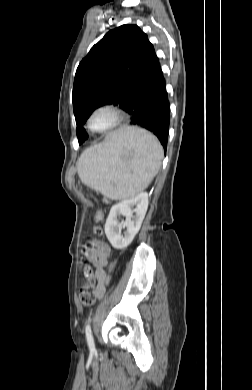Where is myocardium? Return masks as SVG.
Here are the masks:
<instances>
[{
	"label": "myocardium",
	"mask_w": 252,
	"mask_h": 390,
	"mask_svg": "<svg viewBox=\"0 0 252 390\" xmlns=\"http://www.w3.org/2000/svg\"><path fill=\"white\" fill-rule=\"evenodd\" d=\"M99 113H107L111 117L110 123L102 129H97V128L93 127V119ZM123 119H124V112L120 107L115 106V105H111V104H106V105H101V106L96 107L91 112V114L89 115L87 124H88V127L91 131H93L95 133L103 134V133H108V132L116 129L122 123Z\"/></svg>",
	"instance_id": "f54148a6"
}]
</instances>
